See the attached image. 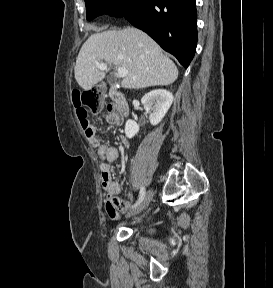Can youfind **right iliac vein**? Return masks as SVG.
I'll list each match as a JSON object with an SVG mask.
<instances>
[{
    "label": "right iliac vein",
    "mask_w": 273,
    "mask_h": 288,
    "mask_svg": "<svg viewBox=\"0 0 273 288\" xmlns=\"http://www.w3.org/2000/svg\"><path fill=\"white\" fill-rule=\"evenodd\" d=\"M152 197H153V191H152V189H150L147 192L144 199L142 200V202L135 209H133L131 212L126 214V218H129L131 216L139 214L141 211H143L148 206V204L150 203Z\"/></svg>",
    "instance_id": "right-iliac-vein-1"
}]
</instances>
